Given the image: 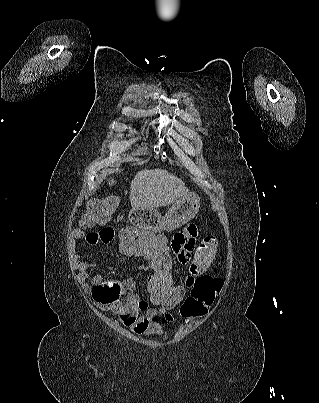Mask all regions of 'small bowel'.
Listing matches in <instances>:
<instances>
[{"label": "small bowel", "mask_w": 319, "mask_h": 403, "mask_svg": "<svg viewBox=\"0 0 319 403\" xmlns=\"http://www.w3.org/2000/svg\"><path fill=\"white\" fill-rule=\"evenodd\" d=\"M199 232V224H186L171 236L169 247L174 261L185 264L191 260ZM74 236L85 238L86 249H105L106 246L112 245V238L116 237V230L111 224H100L99 229L78 230ZM123 249L121 243L122 253ZM71 264L77 270L79 282L86 290L90 287L89 299L92 300L93 309H102V315L111 319V324H124L136 335L152 336L162 334L163 321H173L172 313H159V304H152L156 308H150L147 301L129 294V289L135 290L136 288L134 278L125 279V285H123L122 279L103 278L102 275L95 274L91 277L93 285H89L87 282L88 271L93 267V263L78 254H73ZM187 277L189 278V276ZM147 284L149 285V279ZM178 286L185 287L184 284ZM185 288L187 290L190 287ZM188 296H193L192 292ZM177 308H181V302Z\"/></svg>", "instance_id": "1"}]
</instances>
